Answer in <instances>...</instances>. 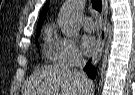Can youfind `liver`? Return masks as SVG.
Segmentation results:
<instances>
[{"label":"liver","mask_w":135,"mask_h":95,"mask_svg":"<svg viewBox=\"0 0 135 95\" xmlns=\"http://www.w3.org/2000/svg\"><path fill=\"white\" fill-rule=\"evenodd\" d=\"M93 83L67 64H54L34 73L24 95H91Z\"/></svg>","instance_id":"1"}]
</instances>
